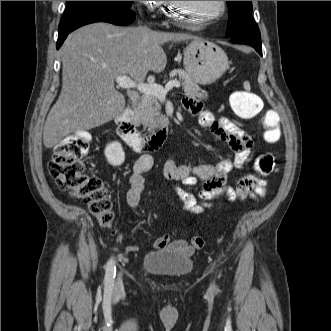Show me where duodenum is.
<instances>
[{
	"instance_id": "duodenum-1",
	"label": "duodenum",
	"mask_w": 331,
	"mask_h": 331,
	"mask_svg": "<svg viewBox=\"0 0 331 331\" xmlns=\"http://www.w3.org/2000/svg\"><path fill=\"white\" fill-rule=\"evenodd\" d=\"M132 104H129L116 117L117 134L135 152L158 149L167 138L169 126L162 125L151 135L143 136L132 121Z\"/></svg>"
}]
</instances>
